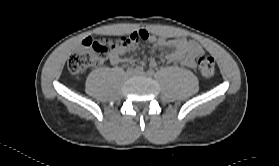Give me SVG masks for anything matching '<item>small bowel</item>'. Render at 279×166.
Here are the masks:
<instances>
[{
	"label": "small bowel",
	"mask_w": 279,
	"mask_h": 166,
	"mask_svg": "<svg viewBox=\"0 0 279 166\" xmlns=\"http://www.w3.org/2000/svg\"><path fill=\"white\" fill-rule=\"evenodd\" d=\"M128 36L133 37L134 41L127 47L113 50L110 54L111 64L118 65L121 63L132 62L131 59L124 58V55L126 51L134 46L140 39L156 44L159 47L171 48V52L166 56L167 62H179L189 68L195 67V59L203 51L202 47L196 41L187 40L185 38L169 40L164 37H156L149 34L145 29L135 31ZM149 64L151 67H155L157 63L154 58H151Z\"/></svg>",
	"instance_id": "small-bowel-1"
}]
</instances>
